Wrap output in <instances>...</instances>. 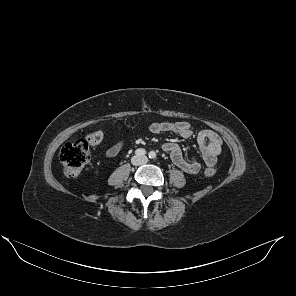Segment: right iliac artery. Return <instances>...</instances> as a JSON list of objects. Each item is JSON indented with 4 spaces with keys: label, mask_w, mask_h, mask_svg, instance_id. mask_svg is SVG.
Masks as SVG:
<instances>
[{
    "label": "right iliac artery",
    "mask_w": 296,
    "mask_h": 296,
    "mask_svg": "<svg viewBox=\"0 0 296 296\" xmlns=\"http://www.w3.org/2000/svg\"><path fill=\"white\" fill-rule=\"evenodd\" d=\"M135 154L137 156H142V155H145L146 154V150L145 149H142V148H139L135 151Z\"/></svg>",
    "instance_id": "82829eb1"
}]
</instances>
